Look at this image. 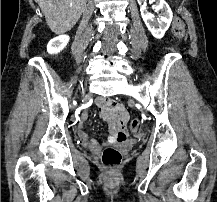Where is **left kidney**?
Segmentation results:
<instances>
[{
	"instance_id": "1",
	"label": "left kidney",
	"mask_w": 217,
	"mask_h": 202,
	"mask_svg": "<svg viewBox=\"0 0 217 202\" xmlns=\"http://www.w3.org/2000/svg\"><path fill=\"white\" fill-rule=\"evenodd\" d=\"M138 4H140V12L141 16L152 36L157 38V40H161L163 38L165 32H167L173 18V14L166 4L165 0H159V4L155 6V10L157 12H161L160 18H155L154 14L148 12V8H146V0H137ZM142 2H144L142 6Z\"/></svg>"
}]
</instances>
